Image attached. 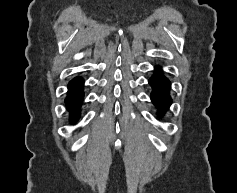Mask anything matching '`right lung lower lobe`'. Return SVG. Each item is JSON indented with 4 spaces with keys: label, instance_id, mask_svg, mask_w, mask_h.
<instances>
[{
    "label": "right lung lower lobe",
    "instance_id": "right-lung-lower-lobe-1",
    "mask_svg": "<svg viewBox=\"0 0 237 193\" xmlns=\"http://www.w3.org/2000/svg\"><path fill=\"white\" fill-rule=\"evenodd\" d=\"M83 101V79L74 78L68 84V94L66 97V105L70 111V121H77L80 116V107Z\"/></svg>",
    "mask_w": 237,
    "mask_h": 193
}]
</instances>
